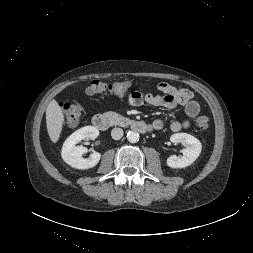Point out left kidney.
Masks as SVG:
<instances>
[{"label": "left kidney", "instance_id": "5707ae66", "mask_svg": "<svg viewBox=\"0 0 253 253\" xmlns=\"http://www.w3.org/2000/svg\"><path fill=\"white\" fill-rule=\"evenodd\" d=\"M172 143H181L184 145L181 158L173 155L167 159V165L171 168H185L191 165L200 155L202 150L201 142L194 136L187 133H176L171 135Z\"/></svg>", "mask_w": 253, "mask_h": 253}]
</instances>
